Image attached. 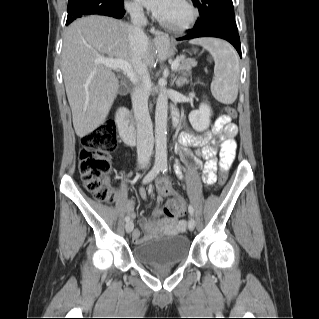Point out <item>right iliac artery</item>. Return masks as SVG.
I'll return each instance as SVG.
<instances>
[{"label":"right iliac artery","instance_id":"obj_1","mask_svg":"<svg viewBox=\"0 0 319 319\" xmlns=\"http://www.w3.org/2000/svg\"><path fill=\"white\" fill-rule=\"evenodd\" d=\"M161 171V165H154L153 168L148 172V174L143 178L142 183L147 184L151 182ZM130 220L129 216L125 217V221L128 222Z\"/></svg>","mask_w":319,"mask_h":319}]
</instances>
